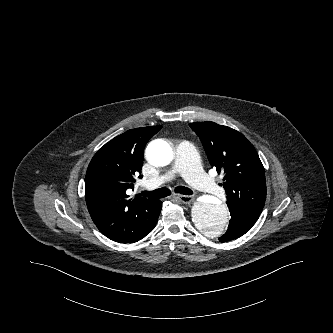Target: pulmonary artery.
<instances>
[{
	"mask_svg": "<svg viewBox=\"0 0 333 333\" xmlns=\"http://www.w3.org/2000/svg\"><path fill=\"white\" fill-rule=\"evenodd\" d=\"M180 174L194 188L214 196H222L224 191L201 169L197 152L193 144L182 141L176 149L175 160L171 168L158 178L147 181V186H159Z\"/></svg>",
	"mask_w": 333,
	"mask_h": 333,
	"instance_id": "pulmonary-artery-1",
	"label": "pulmonary artery"
}]
</instances>
